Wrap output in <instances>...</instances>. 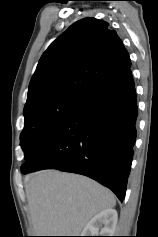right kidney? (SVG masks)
I'll return each mask as SVG.
<instances>
[{
	"label": "right kidney",
	"instance_id": "obj_1",
	"mask_svg": "<svg viewBox=\"0 0 158 237\" xmlns=\"http://www.w3.org/2000/svg\"><path fill=\"white\" fill-rule=\"evenodd\" d=\"M117 220L118 214L115 209L103 210L86 224L81 236H113Z\"/></svg>",
	"mask_w": 158,
	"mask_h": 237
}]
</instances>
